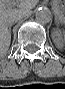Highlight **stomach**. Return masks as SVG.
<instances>
[{
	"instance_id": "0dacf381",
	"label": "stomach",
	"mask_w": 65,
	"mask_h": 89,
	"mask_svg": "<svg viewBox=\"0 0 65 89\" xmlns=\"http://www.w3.org/2000/svg\"><path fill=\"white\" fill-rule=\"evenodd\" d=\"M53 10L55 12L56 17L62 23L65 22V5L63 2L53 3Z\"/></svg>"
}]
</instances>
